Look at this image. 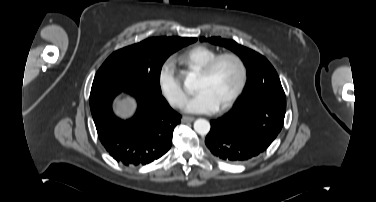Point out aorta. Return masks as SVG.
Segmentation results:
<instances>
[{
  "label": "aorta",
  "mask_w": 376,
  "mask_h": 202,
  "mask_svg": "<svg viewBox=\"0 0 376 202\" xmlns=\"http://www.w3.org/2000/svg\"><path fill=\"white\" fill-rule=\"evenodd\" d=\"M190 81V75L187 77V83ZM194 130L200 135H206L210 131V123L205 119H197L194 122Z\"/></svg>",
  "instance_id": "762f6f07"
}]
</instances>
